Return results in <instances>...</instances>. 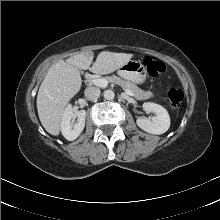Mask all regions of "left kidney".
Instances as JSON below:
<instances>
[{"label": "left kidney", "mask_w": 220, "mask_h": 220, "mask_svg": "<svg viewBox=\"0 0 220 220\" xmlns=\"http://www.w3.org/2000/svg\"><path fill=\"white\" fill-rule=\"evenodd\" d=\"M144 110L154 113V116L148 118H138L137 125L144 131L160 135L165 133L170 127V117L167 110L156 103L145 102L143 104Z\"/></svg>", "instance_id": "left-kidney-1"}]
</instances>
